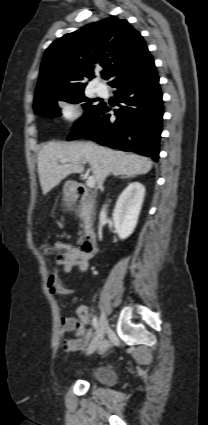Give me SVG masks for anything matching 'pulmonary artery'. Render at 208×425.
Returning <instances> with one entry per match:
<instances>
[{"mask_svg": "<svg viewBox=\"0 0 208 425\" xmlns=\"http://www.w3.org/2000/svg\"><path fill=\"white\" fill-rule=\"evenodd\" d=\"M95 90L101 96H104L108 93L107 86L101 83L96 85Z\"/></svg>", "mask_w": 208, "mask_h": 425, "instance_id": "obj_1", "label": "pulmonary artery"}]
</instances>
